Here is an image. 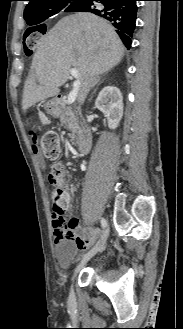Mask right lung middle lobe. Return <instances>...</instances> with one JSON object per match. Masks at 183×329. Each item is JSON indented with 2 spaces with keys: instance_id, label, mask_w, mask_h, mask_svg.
Segmentation results:
<instances>
[{
  "instance_id": "obj_1",
  "label": "right lung middle lobe",
  "mask_w": 183,
  "mask_h": 329,
  "mask_svg": "<svg viewBox=\"0 0 183 329\" xmlns=\"http://www.w3.org/2000/svg\"><path fill=\"white\" fill-rule=\"evenodd\" d=\"M81 1H83V0H62V1H58V2L54 3L53 5H51L50 9L48 11H46L44 14L33 16L29 19L25 18V20L27 21V23L29 25H34V27L31 28L32 32L33 31H40V32L44 33L41 30L43 28V24H41V22H43L44 20H46L50 16L58 14L61 11H65V12L73 11L74 9H76L80 5Z\"/></svg>"
}]
</instances>
